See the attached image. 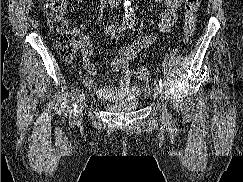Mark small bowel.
Instances as JSON below:
<instances>
[{
    "label": "small bowel",
    "mask_w": 243,
    "mask_h": 182,
    "mask_svg": "<svg viewBox=\"0 0 243 182\" xmlns=\"http://www.w3.org/2000/svg\"><path fill=\"white\" fill-rule=\"evenodd\" d=\"M155 2H163L166 5L165 11L161 14L159 20V28L161 32H167L177 20V9L181 6L182 0H154ZM107 34L111 38L112 43L117 42L115 36V28L110 25L106 29ZM154 40L153 35H146L142 39L135 40L120 48L115 57L110 60V67L114 72L121 73L117 85L102 86L96 85L95 77L98 73L96 66L91 61L92 45L88 37L80 36L78 49L82 54L83 68L87 72V76L83 79L84 86L94 91L97 97L108 102H116L125 97L131 96L138 92V85L132 81V72L129 68L131 61L135 60L140 52L148 47Z\"/></svg>",
    "instance_id": "obj_1"
}]
</instances>
